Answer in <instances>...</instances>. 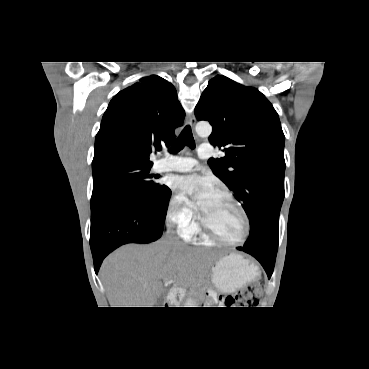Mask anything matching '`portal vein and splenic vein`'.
Returning <instances> with one entry per match:
<instances>
[{
  "label": "portal vein and splenic vein",
  "instance_id": "obj_1",
  "mask_svg": "<svg viewBox=\"0 0 369 369\" xmlns=\"http://www.w3.org/2000/svg\"><path fill=\"white\" fill-rule=\"evenodd\" d=\"M173 281L172 280H166L165 281V285H169V284H171Z\"/></svg>",
  "mask_w": 369,
  "mask_h": 369
}]
</instances>
